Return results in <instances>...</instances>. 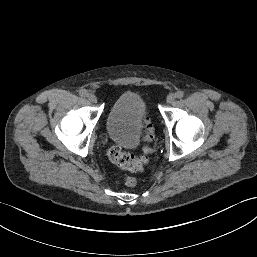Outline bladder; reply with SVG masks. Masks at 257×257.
I'll use <instances>...</instances> for the list:
<instances>
[{"label": "bladder", "mask_w": 257, "mask_h": 257, "mask_svg": "<svg viewBox=\"0 0 257 257\" xmlns=\"http://www.w3.org/2000/svg\"><path fill=\"white\" fill-rule=\"evenodd\" d=\"M147 105L142 96L134 92L122 93L107 115V135L124 147H134L141 138Z\"/></svg>", "instance_id": "31cf9c89"}]
</instances>
